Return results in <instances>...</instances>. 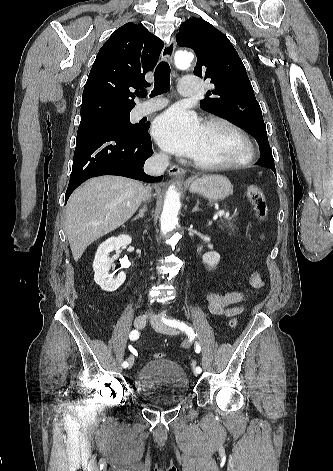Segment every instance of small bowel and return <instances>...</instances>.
<instances>
[{"label":"small bowel","instance_id":"small-bowel-1","mask_svg":"<svg viewBox=\"0 0 333 471\" xmlns=\"http://www.w3.org/2000/svg\"><path fill=\"white\" fill-rule=\"evenodd\" d=\"M249 284L253 288L259 289L265 283L257 272H253L249 278ZM246 298V294L242 291L209 292L206 296L207 308L213 315L234 317L243 312V307L239 304L244 302Z\"/></svg>","mask_w":333,"mask_h":471}]
</instances>
